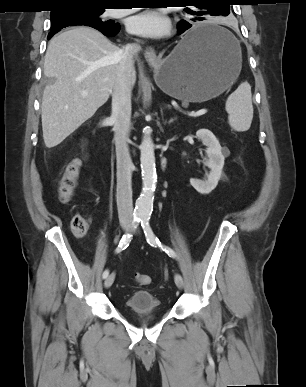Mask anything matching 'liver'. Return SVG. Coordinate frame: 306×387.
Instances as JSON below:
<instances>
[{"label":"liver","mask_w":306,"mask_h":387,"mask_svg":"<svg viewBox=\"0 0 306 387\" xmlns=\"http://www.w3.org/2000/svg\"><path fill=\"white\" fill-rule=\"evenodd\" d=\"M121 49L101 32L76 27L53 37L44 75L53 79L43 92L41 118L47 148L63 142L104 105L112 94ZM136 80L133 72V85ZM87 95L83 96L82 92Z\"/></svg>","instance_id":"liver-1"}]
</instances>
